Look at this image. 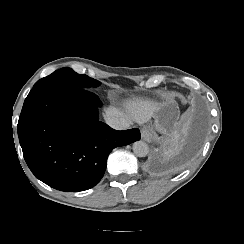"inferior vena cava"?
Returning a JSON list of instances; mask_svg holds the SVG:
<instances>
[{
  "mask_svg": "<svg viewBox=\"0 0 244 244\" xmlns=\"http://www.w3.org/2000/svg\"><path fill=\"white\" fill-rule=\"evenodd\" d=\"M106 123L115 130H126L129 129L132 125L131 121L116 116L106 117Z\"/></svg>",
  "mask_w": 244,
  "mask_h": 244,
  "instance_id": "obj_1",
  "label": "inferior vena cava"
}]
</instances>
